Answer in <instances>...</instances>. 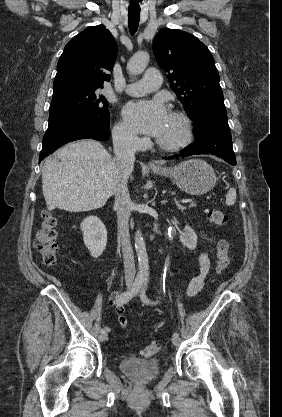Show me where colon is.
<instances>
[{
	"mask_svg": "<svg viewBox=\"0 0 282 417\" xmlns=\"http://www.w3.org/2000/svg\"><path fill=\"white\" fill-rule=\"evenodd\" d=\"M207 220L213 226H223L228 222L227 214L220 209H209L207 211ZM42 224L37 232L35 240V248L39 253L42 262L46 266H55L58 257L57 246V228L58 223L52 213L48 210L42 213ZM229 245L225 240H219L216 245L215 257L213 260V267L215 271H224L230 265ZM162 344L159 342H152L147 344L142 350V356L152 358L160 352Z\"/></svg>",
	"mask_w": 282,
	"mask_h": 417,
	"instance_id": "obj_1",
	"label": "colon"
}]
</instances>
